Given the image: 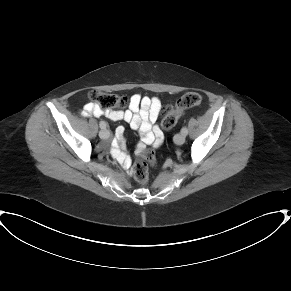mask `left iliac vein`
<instances>
[{
    "instance_id": "obj_1",
    "label": "left iliac vein",
    "mask_w": 291,
    "mask_h": 291,
    "mask_svg": "<svg viewBox=\"0 0 291 291\" xmlns=\"http://www.w3.org/2000/svg\"><path fill=\"white\" fill-rule=\"evenodd\" d=\"M174 142L178 145H182L185 142V135L182 133L175 135Z\"/></svg>"
}]
</instances>
